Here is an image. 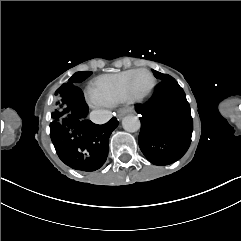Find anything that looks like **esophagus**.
Returning a JSON list of instances; mask_svg holds the SVG:
<instances>
[{
  "label": "esophagus",
  "mask_w": 241,
  "mask_h": 241,
  "mask_svg": "<svg viewBox=\"0 0 241 241\" xmlns=\"http://www.w3.org/2000/svg\"><path fill=\"white\" fill-rule=\"evenodd\" d=\"M132 112H133V108L132 107L124 108V109H122V110H120L118 112V117H122V116H124L126 114H129V113H132Z\"/></svg>",
  "instance_id": "1"
}]
</instances>
